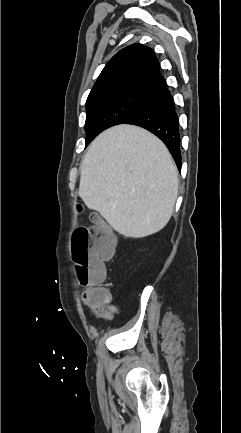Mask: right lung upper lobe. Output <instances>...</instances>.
Wrapping results in <instances>:
<instances>
[{
  "label": "right lung upper lobe",
  "mask_w": 241,
  "mask_h": 433,
  "mask_svg": "<svg viewBox=\"0 0 241 433\" xmlns=\"http://www.w3.org/2000/svg\"><path fill=\"white\" fill-rule=\"evenodd\" d=\"M164 84L166 81L160 74L159 61L151 48L132 44L120 50L106 64L87 102L122 93L151 95Z\"/></svg>",
  "instance_id": "right-lung-upper-lobe-1"
}]
</instances>
